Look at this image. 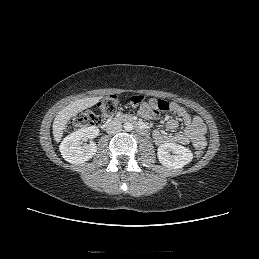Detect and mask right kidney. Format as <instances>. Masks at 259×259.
Wrapping results in <instances>:
<instances>
[{"mask_svg": "<svg viewBox=\"0 0 259 259\" xmlns=\"http://www.w3.org/2000/svg\"><path fill=\"white\" fill-rule=\"evenodd\" d=\"M99 134L96 126H90L71 133L60 144L62 157L69 163L81 164L90 160L97 151L96 143L81 145L82 141L93 139Z\"/></svg>", "mask_w": 259, "mask_h": 259, "instance_id": "ca27d5eb", "label": "right kidney"}]
</instances>
